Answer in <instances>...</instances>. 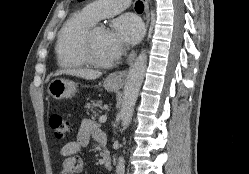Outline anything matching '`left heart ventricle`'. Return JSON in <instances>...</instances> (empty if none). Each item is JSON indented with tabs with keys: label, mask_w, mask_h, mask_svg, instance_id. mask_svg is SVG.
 Returning a JSON list of instances; mask_svg holds the SVG:
<instances>
[{
	"label": "left heart ventricle",
	"mask_w": 249,
	"mask_h": 174,
	"mask_svg": "<svg viewBox=\"0 0 249 174\" xmlns=\"http://www.w3.org/2000/svg\"><path fill=\"white\" fill-rule=\"evenodd\" d=\"M93 54L103 62H112L110 35L106 29L96 28L93 32Z\"/></svg>",
	"instance_id": "b2bd125f"
}]
</instances>
